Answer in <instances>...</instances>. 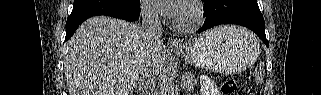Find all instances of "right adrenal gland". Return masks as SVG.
I'll return each instance as SVG.
<instances>
[{
	"instance_id": "1",
	"label": "right adrenal gland",
	"mask_w": 321,
	"mask_h": 95,
	"mask_svg": "<svg viewBox=\"0 0 321 95\" xmlns=\"http://www.w3.org/2000/svg\"><path fill=\"white\" fill-rule=\"evenodd\" d=\"M136 92H137V93H141V91H140V90H137Z\"/></svg>"
}]
</instances>
